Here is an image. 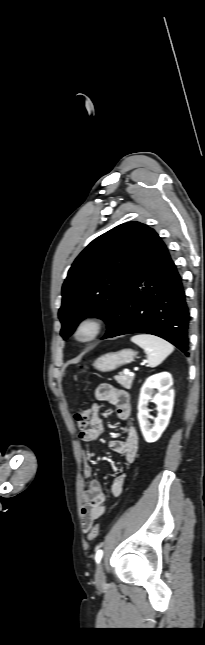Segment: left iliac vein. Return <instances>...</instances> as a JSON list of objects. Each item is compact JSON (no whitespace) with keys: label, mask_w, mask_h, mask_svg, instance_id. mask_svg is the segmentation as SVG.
I'll list each match as a JSON object with an SVG mask.
<instances>
[{"label":"left iliac vein","mask_w":205,"mask_h":645,"mask_svg":"<svg viewBox=\"0 0 205 645\" xmlns=\"http://www.w3.org/2000/svg\"><path fill=\"white\" fill-rule=\"evenodd\" d=\"M95 581L98 585H101L105 582V575L102 567V563H99L95 573Z\"/></svg>","instance_id":"left-iliac-vein-1"}]
</instances>
